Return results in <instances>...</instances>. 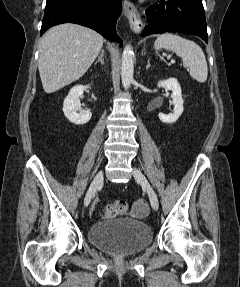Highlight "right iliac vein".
Here are the masks:
<instances>
[{
    "instance_id": "right-iliac-vein-1",
    "label": "right iliac vein",
    "mask_w": 240,
    "mask_h": 287,
    "mask_svg": "<svg viewBox=\"0 0 240 287\" xmlns=\"http://www.w3.org/2000/svg\"><path fill=\"white\" fill-rule=\"evenodd\" d=\"M103 183V171H99L97 173V175L94 177L87 193L86 196L84 198V205L88 206L93 198V196L95 195L97 189L99 188V186Z\"/></svg>"
}]
</instances>
